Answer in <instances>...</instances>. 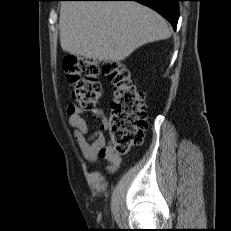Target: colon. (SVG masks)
<instances>
[{"mask_svg":"<svg viewBox=\"0 0 231 231\" xmlns=\"http://www.w3.org/2000/svg\"><path fill=\"white\" fill-rule=\"evenodd\" d=\"M63 68L73 83V98L83 109H92L101 98L98 80L101 68L94 61L68 55ZM103 72L114 87L109 118V134L117 153H125L143 140L147 128L146 103L129 69L117 62L106 64Z\"/></svg>","mask_w":231,"mask_h":231,"instance_id":"1","label":"colon"}]
</instances>
